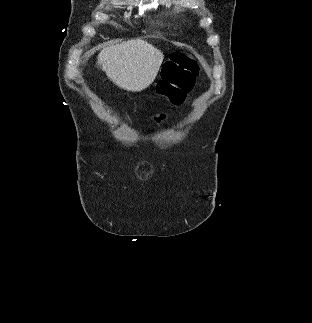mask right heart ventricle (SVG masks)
<instances>
[{"mask_svg":"<svg viewBox=\"0 0 312 323\" xmlns=\"http://www.w3.org/2000/svg\"><path fill=\"white\" fill-rule=\"evenodd\" d=\"M140 18H141L142 20H148V19L150 18V15H149L148 13H142V14L140 15ZM183 18H184L185 20H188V19L190 18V15H189L188 13H185V14L183 15Z\"/></svg>","mask_w":312,"mask_h":323,"instance_id":"1","label":"right heart ventricle"}]
</instances>
